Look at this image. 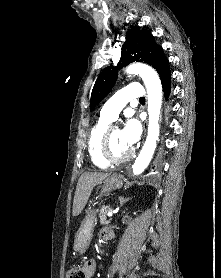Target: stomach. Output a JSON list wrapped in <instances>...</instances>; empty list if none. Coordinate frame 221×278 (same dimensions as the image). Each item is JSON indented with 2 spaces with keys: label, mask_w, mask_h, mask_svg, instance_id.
Listing matches in <instances>:
<instances>
[{
  "label": "stomach",
  "mask_w": 221,
  "mask_h": 278,
  "mask_svg": "<svg viewBox=\"0 0 221 278\" xmlns=\"http://www.w3.org/2000/svg\"><path fill=\"white\" fill-rule=\"evenodd\" d=\"M123 185L122 177L117 174L108 176L103 182V190L110 192L115 189L121 188ZM96 225V212L89 209L87 215L83 220L79 230L76 233L73 249L78 253H84L89 247L92 232Z\"/></svg>",
  "instance_id": "obj_1"
}]
</instances>
